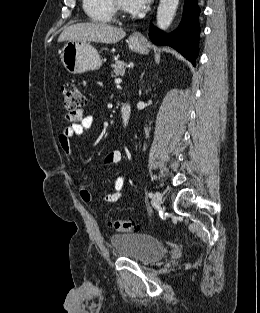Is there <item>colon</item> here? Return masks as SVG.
<instances>
[{"label":"colon","mask_w":260,"mask_h":313,"mask_svg":"<svg viewBox=\"0 0 260 313\" xmlns=\"http://www.w3.org/2000/svg\"><path fill=\"white\" fill-rule=\"evenodd\" d=\"M61 91L64 107L70 112H74L85 105V95L73 82H64ZM110 226L119 233H128L136 228L134 223L127 220H113L110 222Z\"/></svg>","instance_id":"1"}]
</instances>
